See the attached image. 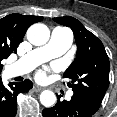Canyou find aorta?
I'll return each mask as SVG.
<instances>
[{
    "label": "aorta",
    "instance_id": "aorta-1",
    "mask_svg": "<svg viewBox=\"0 0 117 117\" xmlns=\"http://www.w3.org/2000/svg\"><path fill=\"white\" fill-rule=\"evenodd\" d=\"M50 37L49 29L41 23L33 24L27 30V39L35 46H41L48 42ZM40 102L45 107H51L56 102V95L50 90H44L40 94Z\"/></svg>",
    "mask_w": 117,
    "mask_h": 117
}]
</instances>
